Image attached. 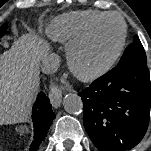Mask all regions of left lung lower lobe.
I'll return each instance as SVG.
<instances>
[{"label":"left lung lower lobe","instance_id":"0a47b994","mask_svg":"<svg viewBox=\"0 0 151 151\" xmlns=\"http://www.w3.org/2000/svg\"><path fill=\"white\" fill-rule=\"evenodd\" d=\"M78 95L85 129L100 151L131 149L145 135L151 103L147 61L116 66Z\"/></svg>","mask_w":151,"mask_h":151}]
</instances>
